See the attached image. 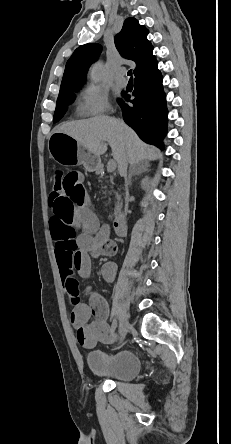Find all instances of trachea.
<instances>
[{"label": "trachea", "mask_w": 231, "mask_h": 444, "mask_svg": "<svg viewBox=\"0 0 231 444\" xmlns=\"http://www.w3.org/2000/svg\"><path fill=\"white\" fill-rule=\"evenodd\" d=\"M127 75L130 76V80H133V78H132V70H129Z\"/></svg>", "instance_id": "obj_1"}]
</instances>
